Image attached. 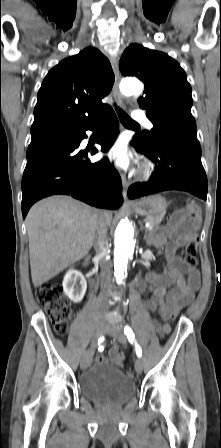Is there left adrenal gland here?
I'll list each match as a JSON object with an SVG mask.
<instances>
[{
  "label": "left adrenal gland",
  "instance_id": "left-adrenal-gland-1",
  "mask_svg": "<svg viewBox=\"0 0 221 448\" xmlns=\"http://www.w3.org/2000/svg\"><path fill=\"white\" fill-rule=\"evenodd\" d=\"M140 226H141V230L145 229L142 223L140 224ZM147 232H148V231L145 230V235H144V238H145V239L147 238Z\"/></svg>",
  "mask_w": 221,
  "mask_h": 448
}]
</instances>
